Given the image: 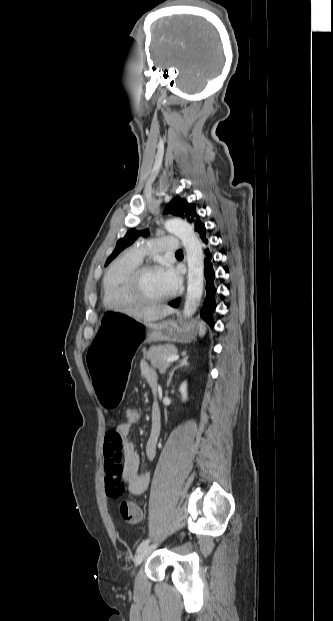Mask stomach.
Returning <instances> with one entry per match:
<instances>
[{"instance_id":"1","label":"stomach","mask_w":333,"mask_h":621,"mask_svg":"<svg viewBox=\"0 0 333 621\" xmlns=\"http://www.w3.org/2000/svg\"><path fill=\"white\" fill-rule=\"evenodd\" d=\"M166 326L165 331L157 329L158 324ZM198 331V324L179 327L174 320L158 323L137 321L132 314L115 311L105 313L97 329V335L87 346L89 373L96 385V394L107 412L119 409L128 384V370L133 355L144 342L169 341L190 342Z\"/></svg>"}]
</instances>
